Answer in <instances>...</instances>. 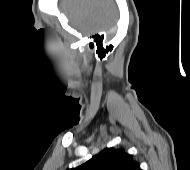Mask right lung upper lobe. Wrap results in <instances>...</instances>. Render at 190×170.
<instances>
[{
	"mask_svg": "<svg viewBox=\"0 0 190 170\" xmlns=\"http://www.w3.org/2000/svg\"><path fill=\"white\" fill-rule=\"evenodd\" d=\"M70 170H141L124 149L105 148L84 164Z\"/></svg>",
	"mask_w": 190,
	"mask_h": 170,
	"instance_id": "cb5924a9",
	"label": "right lung upper lobe"
}]
</instances>
